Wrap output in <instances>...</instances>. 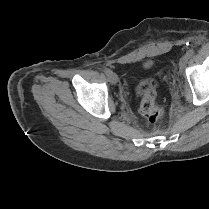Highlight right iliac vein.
I'll list each match as a JSON object with an SVG mask.
<instances>
[{
	"label": "right iliac vein",
	"mask_w": 209,
	"mask_h": 209,
	"mask_svg": "<svg viewBox=\"0 0 209 209\" xmlns=\"http://www.w3.org/2000/svg\"><path fill=\"white\" fill-rule=\"evenodd\" d=\"M108 79H109L110 83H111V84H114V85L118 82V76H117V74L114 73V72H111V73L109 74Z\"/></svg>",
	"instance_id": "63e3f726"
}]
</instances>
